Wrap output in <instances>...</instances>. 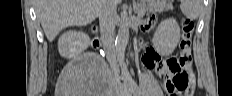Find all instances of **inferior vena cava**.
Here are the masks:
<instances>
[{
  "label": "inferior vena cava",
  "mask_w": 232,
  "mask_h": 96,
  "mask_svg": "<svg viewBox=\"0 0 232 96\" xmlns=\"http://www.w3.org/2000/svg\"><path fill=\"white\" fill-rule=\"evenodd\" d=\"M115 0H101L99 24L100 34L104 50L110 60L115 58V24L116 16Z\"/></svg>",
  "instance_id": "obj_1"
}]
</instances>
